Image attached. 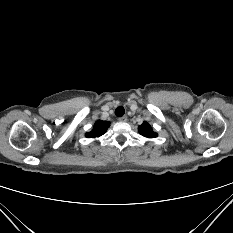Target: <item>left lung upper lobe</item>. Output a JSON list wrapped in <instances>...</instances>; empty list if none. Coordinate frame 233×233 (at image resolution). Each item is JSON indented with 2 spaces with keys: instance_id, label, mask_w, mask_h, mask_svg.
Here are the masks:
<instances>
[{
  "instance_id": "left-lung-upper-lobe-1",
  "label": "left lung upper lobe",
  "mask_w": 233,
  "mask_h": 233,
  "mask_svg": "<svg viewBox=\"0 0 233 233\" xmlns=\"http://www.w3.org/2000/svg\"><path fill=\"white\" fill-rule=\"evenodd\" d=\"M138 131L142 136L147 137V138L157 137V133L152 130V127L147 122H143L138 127Z\"/></svg>"
}]
</instances>
